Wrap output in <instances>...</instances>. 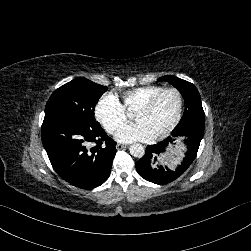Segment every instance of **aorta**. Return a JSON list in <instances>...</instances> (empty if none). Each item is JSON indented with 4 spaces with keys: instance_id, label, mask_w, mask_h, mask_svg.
Returning a JSON list of instances; mask_svg holds the SVG:
<instances>
[{
    "instance_id": "1",
    "label": "aorta",
    "mask_w": 251,
    "mask_h": 251,
    "mask_svg": "<svg viewBox=\"0 0 251 251\" xmlns=\"http://www.w3.org/2000/svg\"><path fill=\"white\" fill-rule=\"evenodd\" d=\"M129 151L132 156L137 158H141L145 154L144 147L138 143L131 145Z\"/></svg>"
}]
</instances>
